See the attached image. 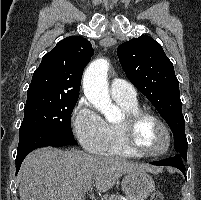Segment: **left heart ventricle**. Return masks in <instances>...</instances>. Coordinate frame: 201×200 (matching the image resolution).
<instances>
[{"instance_id":"1","label":"left heart ventricle","mask_w":201,"mask_h":200,"mask_svg":"<svg viewBox=\"0 0 201 200\" xmlns=\"http://www.w3.org/2000/svg\"><path fill=\"white\" fill-rule=\"evenodd\" d=\"M136 142L140 149L146 152L161 151L166 142L161 127L152 120H144L136 132Z\"/></svg>"}]
</instances>
